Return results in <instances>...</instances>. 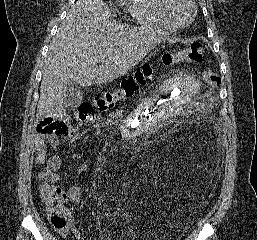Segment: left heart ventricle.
<instances>
[{
	"label": "left heart ventricle",
	"mask_w": 257,
	"mask_h": 240,
	"mask_svg": "<svg viewBox=\"0 0 257 240\" xmlns=\"http://www.w3.org/2000/svg\"><path fill=\"white\" fill-rule=\"evenodd\" d=\"M170 12L176 21L186 23L191 17L192 8L186 0H172Z\"/></svg>",
	"instance_id": "b2bd125f"
}]
</instances>
